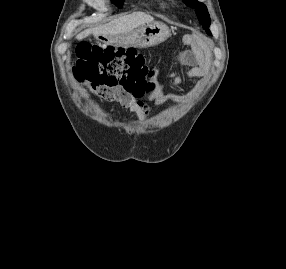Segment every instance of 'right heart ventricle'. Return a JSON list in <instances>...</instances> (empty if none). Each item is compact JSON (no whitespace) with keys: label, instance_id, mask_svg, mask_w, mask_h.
I'll use <instances>...</instances> for the list:
<instances>
[{"label":"right heart ventricle","instance_id":"e07e8e85","mask_svg":"<svg viewBox=\"0 0 286 269\" xmlns=\"http://www.w3.org/2000/svg\"><path fill=\"white\" fill-rule=\"evenodd\" d=\"M159 5H160V8L163 10L166 8L165 3H163V2H160Z\"/></svg>","mask_w":286,"mask_h":269}]
</instances>
